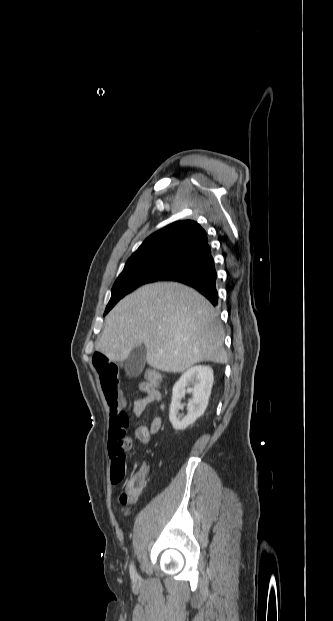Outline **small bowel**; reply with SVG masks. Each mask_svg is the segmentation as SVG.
Masks as SVG:
<instances>
[{"mask_svg":"<svg viewBox=\"0 0 333 621\" xmlns=\"http://www.w3.org/2000/svg\"><path fill=\"white\" fill-rule=\"evenodd\" d=\"M92 363L98 373L101 389L109 407L108 453L111 467L116 463H123L126 466V452L130 449L132 440L126 434L129 422L124 411L126 403L118 383L119 365L102 352L93 354ZM140 390L144 396L133 403V413L136 416H141L146 407L153 402H158L160 409H164L162 394L154 386L143 382L140 384ZM161 426L162 419L157 416L149 426H138L134 431L135 438L140 443L146 444Z\"/></svg>","mask_w":333,"mask_h":621,"instance_id":"small-bowel-1","label":"small bowel"}]
</instances>
